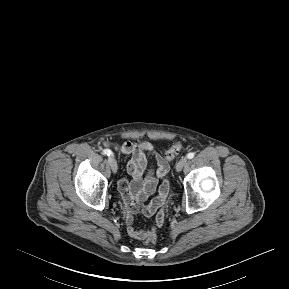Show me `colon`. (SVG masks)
<instances>
[{"instance_id": "colon-1", "label": "colon", "mask_w": 289, "mask_h": 289, "mask_svg": "<svg viewBox=\"0 0 289 289\" xmlns=\"http://www.w3.org/2000/svg\"><path fill=\"white\" fill-rule=\"evenodd\" d=\"M181 145L179 143H176L174 145H172L171 147H169L166 151H165V156L168 159H171L172 157H174L180 150ZM158 240V236L156 234L155 231L151 232L149 234V236L144 240V242L146 244H154L156 243Z\"/></svg>"}]
</instances>
